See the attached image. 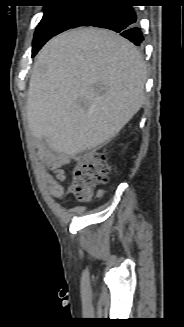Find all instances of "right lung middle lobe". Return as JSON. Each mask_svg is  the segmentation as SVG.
<instances>
[{
	"instance_id": "obj_1",
	"label": "right lung middle lobe",
	"mask_w": 184,
	"mask_h": 327,
	"mask_svg": "<svg viewBox=\"0 0 184 327\" xmlns=\"http://www.w3.org/2000/svg\"><path fill=\"white\" fill-rule=\"evenodd\" d=\"M73 1L62 0V5L44 6L43 18L34 34L32 57L50 38L71 28L90 7L74 4Z\"/></svg>"
}]
</instances>
